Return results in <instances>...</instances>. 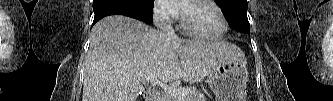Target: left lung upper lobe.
Segmentation results:
<instances>
[{
  "label": "left lung upper lobe",
  "instance_id": "left-lung-upper-lobe-1",
  "mask_svg": "<svg viewBox=\"0 0 333 101\" xmlns=\"http://www.w3.org/2000/svg\"><path fill=\"white\" fill-rule=\"evenodd\" d=\"M224 10L231 28L242 33L250 31L247 0H214Z\"/></svg>",
  "mask_w": 333,
  "mask_h": 101
}]
</instances>
